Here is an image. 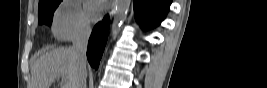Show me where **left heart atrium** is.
Masks as SVG:
<instances>
[{
	"mask_svg": "<svg viewBox=\"0 0 267 88\" xmlns=\"http://www.w3.org/2000/svg\"><path fill=\"white\" fill-rule=\"evenodd\" d=\"M104 11V5L101 1L91 0L85 5V12L92 21L98 20Z\"/></svg>",
	"mask_w": 267,
	"mask_h": 88,
	"instance_id": "39dd6f15",
	"label": "left heart atrium"
}]
</instances>
